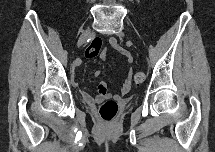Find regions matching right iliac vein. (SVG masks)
<instances>
[{"instance_id":"right-iliac-vein-1","label":"right iliac vein","mask_w":215,"mask_h":152,"mask_svg":"<svg viewBox=\"0 0 215 152\" xmlns=\"http://www.w3.org/2000/svg\"><path fill=\"white\" fill-rule=\"evenodd\" d=\"M90 35H91V30L90 29L85 30L79 37L77 46L78 47L82 46L87 41V39L90 37Z\"/></svg>"}]
</instances>
